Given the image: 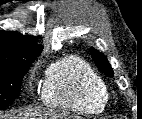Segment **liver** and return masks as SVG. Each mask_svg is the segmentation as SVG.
Returning a JSON list of instances; mask_svg holds the SVG:
<instances>
[{
	"label": "liver",
	"instance_id": "obj_1",
	"mask_svg": "<svg viewBox=\"0 0 142 119\" xmlns=\"http://www.w3.org/2000/svg\"><path fill=\"white\" fill-rule=\"evenodd\" d=\"M22 119H63L66 115L42 109H27L19 115ZM0 119H18V116H5L0 113ZM76 119H79L76 117Z\"/></svg>",
	"mask_w": 142,
	"mask_h": 119
}]
</instances>
